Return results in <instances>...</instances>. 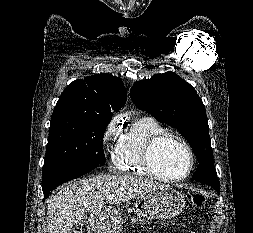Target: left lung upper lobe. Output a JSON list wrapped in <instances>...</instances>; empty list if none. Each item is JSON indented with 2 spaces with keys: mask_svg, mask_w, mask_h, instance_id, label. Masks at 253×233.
I'll return each mask as SVG.
<instances>
[{
  "mask_svg": "<svg viewBox=\"0 0 253 233\" xmlns=\"http://www.w3.org/2000/svg\"><path fill=\"white\" fill-rule=\"evenodd\" d=\"M130 96L140 110L177 128L188 141L199 162L193 179L219 186L206 111L195 89L175 73L166 72L135 82Z\"/></svg>",
  "mask_w": 253,
  "mask_h": 233,
  "instance_id": "obj_1",
  "label": "left lung upper lobe"
}]
</instances>
